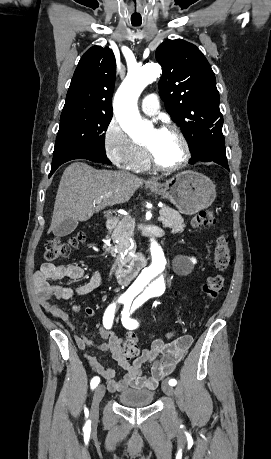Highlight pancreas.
I'll return each mask as SVG.
<instances>
[{"label": "pancreas", "mask_w": 271, "mask_h": 459, "mask_svg": "<svg viewBox=\"0 0 271 459\" xmlns=\"http://www.w3.org/2000/svg\"><path fill=\"white\" fill-rule=\"evenodd\" d=\"M159 214L164 215V220L162 224L164 228H172L171 233H180L185 228L184 220L176 210H172V208H161ZM134 226V218H122L121 222H119L117 228L114 229L113 239H117L119 243L116 245H103L105 247V251H110L113 255L114 249H122V247H128L130 245L129 239L133 235Z\"/></svg>", "instance_id": "obj_1"}]
</instances>
